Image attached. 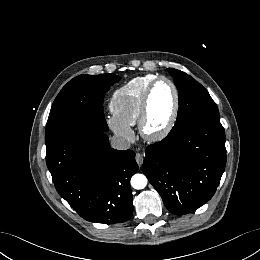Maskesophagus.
<instances>
[{
	"label": "esophagus",
	"instance_id": "esophagus-1",
	"mask_svg": "<svg viewBox=\"0 0 260 260\" xmlns=\"http://www.w3.org/2000/svg\"><path fill=\"white\" fill-rule=\"evenodd\" d=\"M135 160H136L137 164L139 166H141L143 164V160H144L143 154L136 153Z\"/></svg>",
	"mask_w": 260,
	"mask_h": 260
}]
</instances>
